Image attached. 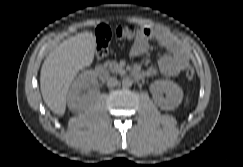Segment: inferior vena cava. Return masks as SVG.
<instances>
[{
    "mask_svg": "<svg viewBox=\"0 0 243 167\" xmlns=\"http://www.w3.org/2000/svg\"><path fill=\"white\" fill-rule=\"evenodd\" d=\"M118 84V80L116 78H109L107 81L108 87H114Z\"/></svg>",
    "mask_w": 243,
    "mask_h": 167,
    "instance_id": "inferior-vena-cava-1",
    "label": "inferior vena cava"
}]
</instances>
